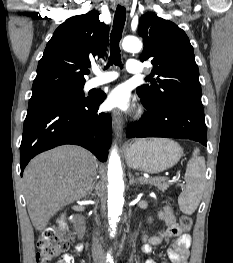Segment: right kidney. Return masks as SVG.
<instances>
[{"mask_svg":"<svg viewBox=\"0 0 233 263\" xmlns=\"http://www.w3.org/2000/svg\"><path fill=\"white\" fill-rule=\"evenodd\" d=\"M63 219H64V215L61 216V220H58V222H59L60 227L64 229L65 223H64Z\"/></svg>","mask_w":233,"mask_h":263,"instance_id":"ca27d5eb","label":"right kidney"}]
</instances>
